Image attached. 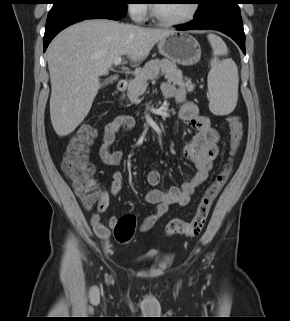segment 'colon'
Segmentation results:
<instances>
[{"mask_svg":"<svg viewBox=\"0 0 290 321\" xmlns=\"http://www.w3.org/2000/svg\"><path fill=\"white\" fill-rule=\"evenodd\" d=\"M227 122L230 128L227 162L204 190L194 217L190 221L172 219L168 222L166 226L168 236H197L205 227L211 206L230 176L233 159L243 139V124L240 118L230 115L227 117ZM94 135L95 129L92 124L87 122L81 124L72 136L62 161L63 171L86 208H92L99 200V191L93 181L95 169L88 158ZM135 230V216L126 214L117 220L114 226V237L119 243H128L132 240Z\"/></svg>","mask_w":290,"mask_h":321,"instance_id":"obj_1","label":"colon"}]
</instances>
